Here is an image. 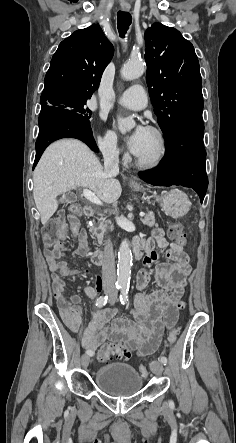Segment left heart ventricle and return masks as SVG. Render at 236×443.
<instances>
[{"label": "left heart ventricle", "instance_id": "left-heart-ventricle-1", "mask_svg": "<svg viewBox=\"0 0 236 443\" xmlns=\"http://www.w3.org/2000/svg\"><path fill=\"white\" fill-rule=\"evenodd\" d=\"M158 150L159 144L157 138L151 131L147 130L140 149L136 155L144 159H151L157 155Z\"/></svg>", "mask_w": 236, "mask_h": 443}]
</instances>
